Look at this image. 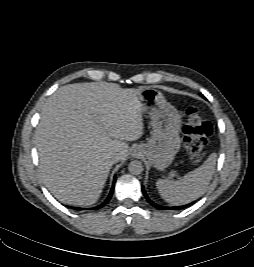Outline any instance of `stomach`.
Instances as JSON below:
<instances>
[{"mask_svg": "<svg viewBox=\"0 0 254 267\" xmlns=\"http://www.w3.org/2000/svg\"><path fill=\"white\" fill-rule=\"evenodd\" d=\"M139 101L143 112L152 119V135L147 143L138 146V153L159 171L165 170L181 147V115L156 89L141 90Z\"/></svg>", "mask_w": 254, "mask_h": 267, "instance_id": "1", "label": "stomach"}]
</instances>
